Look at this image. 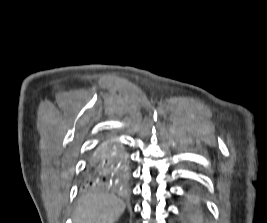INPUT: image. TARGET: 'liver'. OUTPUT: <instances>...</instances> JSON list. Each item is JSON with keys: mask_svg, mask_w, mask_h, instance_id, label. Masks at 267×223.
Listing matches in <instances>:
<instances>
[{"mask_svg": "<svg viewBox=\"0 0 267 223\" xmlns=\"http://www.w3.org/2000/svg\"><path fill=\"white\" fill-rule=\"evenodd\" d=\"M125 203L112 194L91 192L81 197L74 223H114L123 214Z\"/></svg>", "mask_w": 267, "mask_h": 223, "instance_id": "obj_1", "label": "liver"}]
</instances>
